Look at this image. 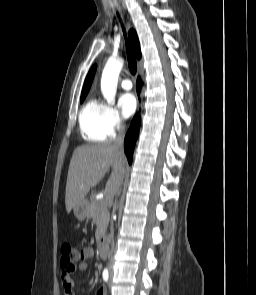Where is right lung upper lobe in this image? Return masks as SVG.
<instances>
[{
  "instance_id": "1",
  "label": "right lung upper lobe",
  "mask_w": 256,
  "mask_h": 295,
  "mask_svg": "<svg viewBox=\"0 0 256 295\" xmlns=\"http://www.w3.org/2000/svg\"><path fill=\"white\" fill-rule=\"evenodd\" d=\"M129 37H130V40H131V44H132L134 53H135L136 57L139 59L141 57V52H140V44H139V40H138L136 32L134 30H130L129 31ZM95 72H96V65H94L90 69V71H89V73H88V75L86 77V80L84 82V86H83L81 95H85V94L87 95V93H88V91L90 89L93 77L95 75Z\"/></svg>"
}]
</instances>
